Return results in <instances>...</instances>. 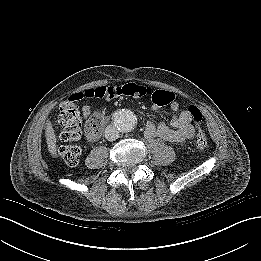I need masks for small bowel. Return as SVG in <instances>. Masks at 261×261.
Segmentation results:
<instances>
[{"mask_svg": "<svg viewBox=\"0 0 261 261\" xmlns=\"http://www.w3.org/2000/svg\"><path fill=\"white\" fill-rule=\"evenodd\" d=\"M159 107L160 106L154 103L152 109L157 110ZM168 107L173 113L169 125L148 121L145 125V135L148 138H160L174 143H183L187 140L193 139L196 132L193 126L192 115L188 109L180 110V105L175 99L170 102ZM90 114L91 106L84 105L82 107V115L84 119H87Z\"/></svg>", "mask_w": 261, "mask_h": 261, "instance_id": "1", "label": "small bowel"}]
</instances>
